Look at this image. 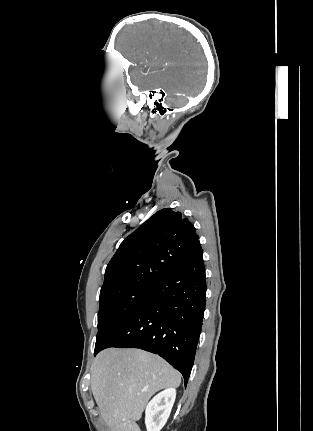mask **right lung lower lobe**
Returning a JSON list of instances; mask_svg holds the SVG:
<instances>
[{"label": "right lung lower lobe", "instance_id": "1", "mask_svg": "<svg viewBox=\"0 0 313 431\" xmlns=\"http://www.w3.org/2000/svg\"><path fill=\"white\" fill-rule=\"evenodd\" d=\"M206 277L198 241L184 261L109 337L108 347L140 348L158 354L188 382L205 310Z\"/></svg>", "mask_w": 313, "mask_h": 431}]
</instances>
